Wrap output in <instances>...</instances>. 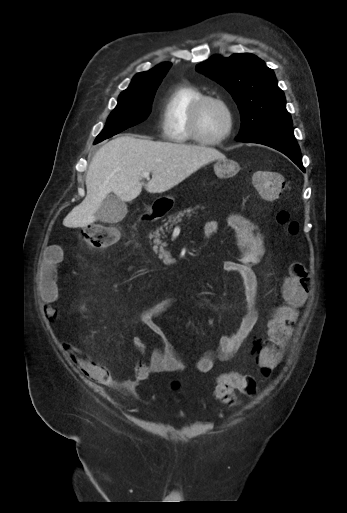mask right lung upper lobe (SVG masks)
<instances>
[{
    "mask_svg": "<svg viewBox=\"0 0 347 513\" xmlns=\"http://www.w3.org/2000/svg\"><path fill=\"white\" fill-rule=\"evenodd\" d=\"M170 66L171 63H161L149 71L136 74L132 79L130 86L125 91L138 89L149 83L161 81L166 75Z\"/></svg>",
    "mask_w": 347,
    "mask_h": 513,
    "instance_id": "obj_1",
    "label": "right lung upper lobe"
}]
</instances>
